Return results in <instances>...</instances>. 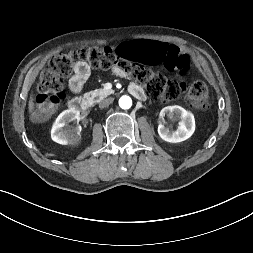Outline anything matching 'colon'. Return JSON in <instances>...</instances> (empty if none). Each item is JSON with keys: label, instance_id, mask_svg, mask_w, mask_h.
I'll return each mask as SVG.
<instances>
[{"label": "colon", "instance_id": "colon-1", "mask_svg": "<svg viewBox=\"0 0 253 253\" xmlns=\"http://www.w3.org/2000/svg\"><path fill=\"white\" fill-rule=\"evenodd\" d=\"M77 62L102 69L118 67L143 85L155 99L169 102L184 94L187 104L193 109L205 111L210 107L209 91L202 81L172 80L138 66L160 68L170 75H186L192 69V60L181 47L168 41L126 40L119 48L88 46L55 55L40 76L35 111L38 121L50 117L64 98L65 78Z\"/></svg>", "mask_w": 253, "mask_h": 253}]
</instances>
